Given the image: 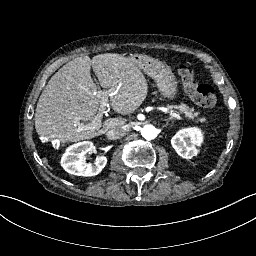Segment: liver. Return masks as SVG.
I'll list each match as a JSON object with an SVG mask.
<instances>
[{
	"label": "liver",
	"instance_id": "liver-1",
	"mask_svg": "<svg viewBox=\"0 0 256 256\" xmlns=\"http://www.w3.org/2000/svg\"><path fill=\"white\" fill-rule=\"evenodd\" d=\"M91 66L100 86L111 90L106 101L118 114L131 115L145 101L149 86L142 69L146 67L134 58L120 53L76 58L52 76L39 98L35 128L41 138L64 143L89 140L127 123L123 117H108L92 127L103 100L91 77Z\"/></svg>",
	"mask_w": 256,
	"mask_h": 256
}]
</instances>
